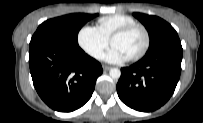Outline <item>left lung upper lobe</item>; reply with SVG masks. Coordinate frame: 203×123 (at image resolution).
Segmentation results:
<instances>
[{"label": "left lung upper lobe", "mask_w": 203, "mask_h": 123, "mask_svg": "<svg viewBox=\"0 0 203 123\" xmlns=\"http://www.w3.org/2000/svg\"><path fill=\"white\" fill-rule=\"evenodd\" d=\"M133 15L149 32L151 42L147 53L173 43H180V39L175 29L163 19L142 13H133Z\"/></svg>", "instance_id": "1"}]
</instances>
